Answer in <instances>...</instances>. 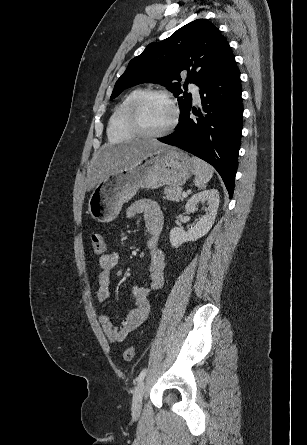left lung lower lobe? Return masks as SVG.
<instances>
[{
    "label": "left lung lower lobe",
    "instance_id": "obj_1",
    "mask_svg": "<svg viewBox=\"0 0 307 445\" xmlns=\"http://www.w3.org/2000/svg\"><path fill=\"white\" fill-rule=\"evenodd\" d=\"M240 72L234 56L200 90L202 110H190L176 130L158 140L177 146L210 163L233 196L242 133L243 105Z\"/></svg>",
    "mask_w": 307,
    "mask_h": 445
}]
</instances>
